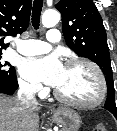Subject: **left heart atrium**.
<instances>
[{
	"label": "left heart atrium",
	"mask_w": 117,
	"mask_h": 131,
	"mask_svg": "<svg viewBox=\"0 0 117 131\" xmlns=\"http://www.w3.org/2000/svg\"><path fill=\"white\" fill-rule=\"evenodd\" d=\"M64 67L56 56L30 58L21 63V74L32 81H41L57 87L61 81Z\"/></svg>",
	"instance_id": "left-heart-atrium-1"
}]
</instances>
